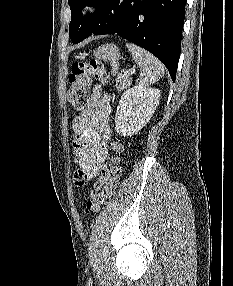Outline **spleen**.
<instances>
[{"instance_id": "3e777b00", "label": "spleen", "mask_w": 233, "mask_h": 286, "mask_svg": "<svg viewBox=\"0 0 233 286\" xmlns=\"http://www.w3.org/2000/svg\"><path fill=\"white\" fill-rule=\"evenodd\" d=\"M126 47L132 53L137 66L140 67L139 86H149L164 75L163 64L150 52L133 43H127Z\"/></svg>"}]
</instances>
